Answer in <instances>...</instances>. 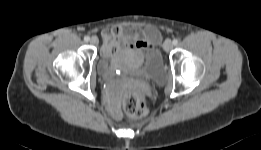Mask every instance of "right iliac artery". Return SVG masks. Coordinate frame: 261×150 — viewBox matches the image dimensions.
<instances>
[{
	"instance_id": "1",
	"label": "right iliac artery",
	"mask_w": 261,
	"mask_h": 150,
	"mask_svg": "<svg viewBox=\"0 0 261 150\" xmlns=\"http://www.w3.org/2000/svg\"><path fill=\"white\" fill-rule=\"evenodd\" d=\"M90 40V37L89 36H85L84 37V41L88 42Z\"/></svg>"
}]
</instances>
